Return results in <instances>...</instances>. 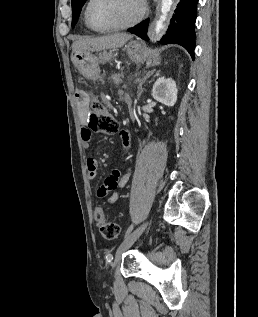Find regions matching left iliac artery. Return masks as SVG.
<instances>
[{
  "label": "left iliac artery",
  "mask_w": 258,
  "mask_h": 317,
  "mask_svg": "<svg viewBox=\"0 0 258 317\" xmlns=\"http://www.w3.org/2000/svg\"><path fill=\"white\" fill-rule=\"evenodd\" d=\"M132 230H133V224H131V225L128 227V229H127V231H126V233H125V235H124V238H126V237L132 232Z\"/></svg>",
  "instance_id": "1"
}]
</instances>
